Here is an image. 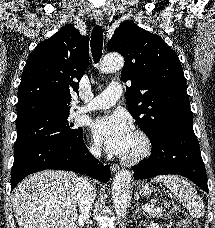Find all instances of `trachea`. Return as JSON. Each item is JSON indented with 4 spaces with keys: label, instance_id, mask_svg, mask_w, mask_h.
Returning <instances> with one entry per match:
<instances>
[{
    "label": "trachea",
    "instance_id": "trachea-1",
    "mask_svg": "<svg viewBox=\"0 0 215 228\" xmlns=\"http://www.w3.org/2000/svg\"><path fill=\"white\" fill-rule=\"evenodd\" d=\"M103 46V30L102 27L97 25L93 28L91 34V52L94 63H98L102 57Z\"/></svg>",
    "mask_w": 215,
    "mask_h": 228
}]
</instances>
